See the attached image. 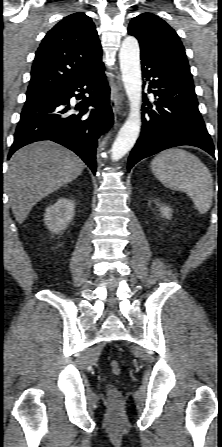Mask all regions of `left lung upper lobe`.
Here are the masks:
<instances>
[{
	"label": "left lung upper lobe",
	"mask_w": 222,
	"mask_h": 447,
	"mask_svg": "<svg viewBox=\"0 0 222 447\" xmlns=\"http://www.w3.org/2000/svg\"><path fill=\"white\" fill-rule=\"evenodd\" d=\"M128 33L138 39L141 52L157 57L193 82L185 49L174 29L165 21L143 13L131 20Z\"/></svg>",
	"instance_id": "obj_1"
}]
</instances>
